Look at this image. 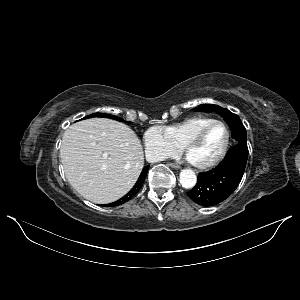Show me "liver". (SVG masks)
I'll return each mask as SVG.
<instances>
[{
	"label": "liver",
	"mask_w": 300,
	"mask_h": 300,
	"mask_svg": "<svg viewBox=\"0 0 300 300\" xmlns=\"http://www.w3.org/2000/svg\"><path fill=\"white\" fill-rule=\"evenodd\" d=\"M60 158L71 186L97 204L127 194L144 166L143 148L135 132L108 118L72 124L63 134Z\"/></svg>",
	"instance_id": "6515ba94"
}]
</instances>
